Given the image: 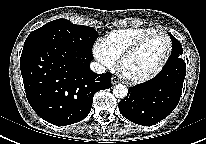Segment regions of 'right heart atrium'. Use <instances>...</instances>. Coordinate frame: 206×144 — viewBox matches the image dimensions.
<instances>
[{"label":"right heart atrium","mask_w":206,"mask_h":144,"mask_svg":"<svg viewBox=\"0 0 206 144\" xmlns=\"http://www.w3.org/2000/svg\"><path fill=\"white\" fill-rule=\"evenodd\" d=\"M93 55L95 59L105 68H113L116 65V60L108 52L103 41H96L93 45Z\"/></svg>","instance_id":"1"}]
</instances>
